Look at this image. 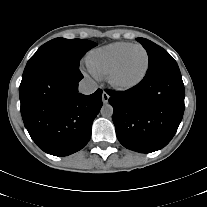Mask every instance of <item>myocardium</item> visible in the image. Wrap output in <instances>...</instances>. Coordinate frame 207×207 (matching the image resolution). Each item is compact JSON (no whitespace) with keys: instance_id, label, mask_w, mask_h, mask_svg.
<instances>
[{"instance_id":"obj_1","label":"myocardium","mask_w":207,"mask_h":207,"mask_svg":"<svg viewBox=\"0 0 207 207\" xmlns=\"http://www.w3.org/2000/svg\"><path fill=\"white\" fill-rule=\"evenodd\" d=\"M134 48H141L144 51L145 56H146L145 67H144L142 73L139 75V77H137L135 80H133L131 82H119L116 79V75H117L122 63L124 62L125 58L131 52V50H133ZM149 67H150V57H149V53H148L147 49L142 44L135 43V44H132L130 47H128L118 57V59L116 60V62L114 63V65L112 66V68L110 69V71L107 74V81L116 90H119V91L130 90V89L137 87L139 84H141L143 82V80L147 76V73L149 71Z\"/></svg>"}]
</instances>
